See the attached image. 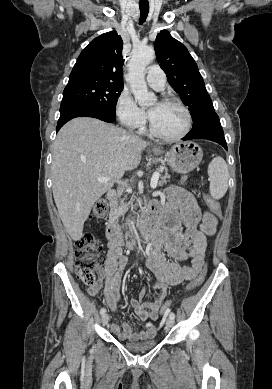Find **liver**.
<instances>
[{
    "label": "liver",
    "instance_id": "6515ba94",
    "mask_svg": "<svg viewBox=\"0 0 272 389\" xmlns=\"http://www.w3.org/2000/svg\"><path fill=\"white\" fill-rule=\"evenodd\" d=\"M149 142L101 120L79 117L58 132L52 153V190L59 216L75 241L94 203L125 171L138 166ZM98 178H109L99 182Z\"/></svg>",
    "mask_w": 272,
    "mask_h": 389
}]
</instances>
